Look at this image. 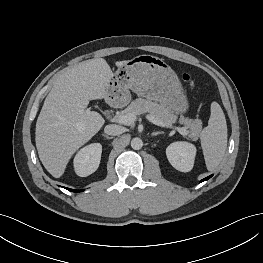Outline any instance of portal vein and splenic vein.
<instances>
[{"label": "portal vein and splenic vein", "instance_id": "18ae733b", "mask_svg": "<svg viewBox=\"0 0 263 263\" xmlns=\"http://www.w3.org/2000/svg\"><path fill=\"white\" fill-rule=\"evenodd\" d=\"M146 119L148 121L152 122L153 124L161 126V127L174 128L183 136H186L188 134V131L185 128L173 126L172 124H168V123H163L162 121L156 119L155 117H153L151 115H147ZM135 120H136V116L134 114H131V113L117 117V121L121 124H124V125H131L134 123Z\"/></svg>", "mask_w": 263, "mask_h": 263}]
</instances>
